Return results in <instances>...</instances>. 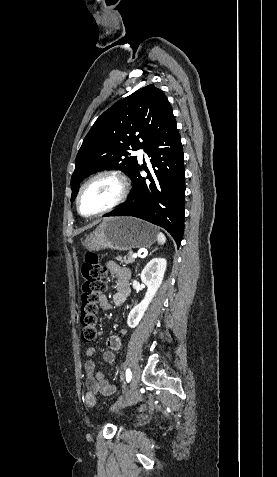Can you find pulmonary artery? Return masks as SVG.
I'll list each match as a JSON object with an SVG mask.
<instances>
[{"instance_id":"obj_1","label":"pulmonary artery","mask_w":277,"mask_h":477,"mask_svg":"<svg viewBox=\"0 0 277 477\" xmlns=\"http://www.w3.org/2000/svg\"><path fill=\"white\" fill-rule=\"evenodd\" d=\"M136 154L138 155L139 158H143V157L147 158V154H146V152H145L144 149H139V150L136 152Z\"/></svg>"}]
</instances>
